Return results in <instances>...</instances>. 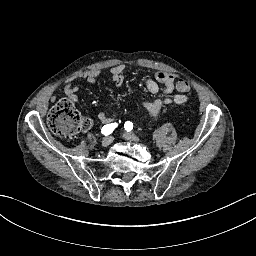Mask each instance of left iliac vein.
<instances>
[{
	"label": "left iliac vein",
	"mask_w": 256,
	"mask_h": 256,
	"mask_svg": "<svg viewBox=\"0 0 256 256\" xmlns=\"http://www.w3.org/2000/svg\"><path fill=\"white\" fill-rule=\"evenodd\" d=\"M123 137L127 140L138 141L139 138L131 132H124Z\"/></svg>",
	"instance_id": "4c4485c4"
}]
</instances>
